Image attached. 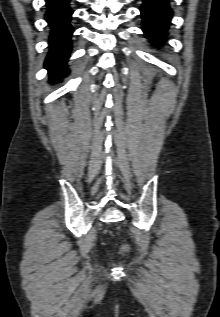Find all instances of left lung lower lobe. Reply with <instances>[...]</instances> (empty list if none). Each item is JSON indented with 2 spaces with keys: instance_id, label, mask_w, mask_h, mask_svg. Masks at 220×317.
<instances>
[{
  "instance_id": "obj_1",
  "label": "left lung lower lobe",
  "mask_w": 220,
  "mask_h": 317,
  "mask_svg": "<svg viewBox=\"0 0 220 317\" xmlns=\"http://www.w3.org/2000/svg\"><path fill=\"white\" fill-rule=\"evenodd\" d=\"M141 10L143 18V31L145 35L154 39L162 34L168 28L172 11L168 0H143Z\"/></svg>"
}]
</instances>
